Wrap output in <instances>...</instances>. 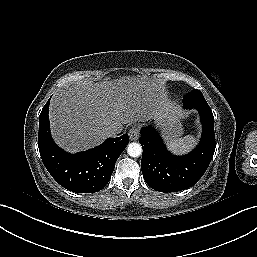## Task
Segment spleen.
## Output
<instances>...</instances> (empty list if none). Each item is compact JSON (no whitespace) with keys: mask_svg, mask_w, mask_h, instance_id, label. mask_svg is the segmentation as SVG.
Returning <instances> with one entry per match:
<instances>
[{"mask_svg":"<svg viewBox=\"0 0 257 257\" xmlns=\"http://www.w3.org/2000/svg\"><path fill=\"white\" fill-rule=\"evenodd\" d=\"M196 144V138L193 135H188L183 138H175L170 140L168 148L175 154H185L192 150Z\"/></svg>","mask_w":257,"mask_h":257,"instance_id":"3e777b00","label":"spleen"}]
</instances>
